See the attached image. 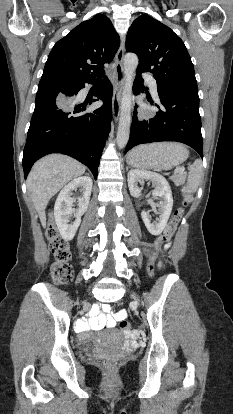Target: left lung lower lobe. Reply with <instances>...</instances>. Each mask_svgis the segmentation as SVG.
<instances>
[{
  "label": "left lung lower lobe",
  "instance_id": "1",
  "mask_svg": "<svg viewBox=\"0 0 233 414\" xmlns=\"http://www.w3.org/2000/svg\"><path fill=\"white\" fill-rule=\"evenodd\" d=\"M133 92H143L141 72H137ZM158 95L161 105L155 106L161 109L149 120L138 121L135 105L125 153L139 144L177 141L189 145L203 158L198 88L158 86Z\"/></svg>",
  "mask_w": 233,
  "mask_h": 414
}]
</instances>
